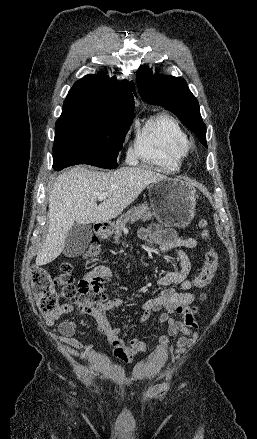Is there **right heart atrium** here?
Segmentation results:
<instances>
[{"label":"right heart atrium","instance_id":"right-heart-atrium-1","mask_svg":"<svg viewBox=\"0 0 257 439\" xmlns=\"http://www.w3.org/2000/svg\"><path fill=\"white\" fill-rule=\"evenodd\" d=\"M136 158V154L134 152V150H128L127 152V159L128 160H134Z\"/></svg>","mask_w":257,"mask_h":439}]
</instances>
